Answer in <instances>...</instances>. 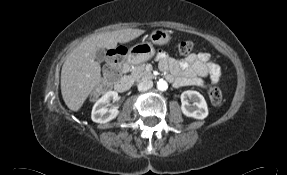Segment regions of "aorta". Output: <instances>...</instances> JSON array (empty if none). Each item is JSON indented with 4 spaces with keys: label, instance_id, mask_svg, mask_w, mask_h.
I'll use <instances>...</instances> for the list:
<instances>
[{
    "label": "aorta",
    "instance_id": "762f6f07",
    "mask_svg": "<svg viewBox=\"0 0 287 175\" xmlns=\"http://www.w3.org/2000/svg\"><path fill=\"white\" fill-rule=\"evenodd\" d=\"M168 88V84L165 80L163 79H160L158 82H157V89L160 90V91H166Z\"/></svg>",
    "mask_w": 287,
    "mask_h": 175
}]
</instances>
